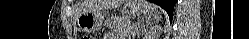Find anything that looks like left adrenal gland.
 <instances>
[{
	"instance_id": "left-adrenal-gland-1",
	"label": "left adrenal gland",
	"mask_w": 249,
	"mask_h": 39,
	"mask_svg": "<svg viewBox=\"0 0 249 39\" xmlns=\"http://www.w3.org/2000/svg\"><path fill=\"white\" fill-rule=\"evenodd\" d=\"M135 33H137V34L139 33V32L137 31V28H136V30H135Z\"/></svg>"
}]
</instances>
